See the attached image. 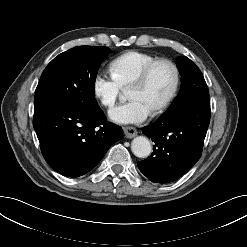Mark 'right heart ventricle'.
Masks as SVG:
<instances>
[{
	"label": "right heart ventricle",
	"instance_id": "obj_1",
	"mask_svg": "<svg viewBox=\"0 0 247 247\" xmlns=\"http://www.w3.org/2000/svg\"><path fill=\"white\" fill-rule=\"evenodd\" d=\"M155 56L136 50L127 51L109 64V72L112 79L121 87L127 88L153 61Z\"/></svg>",
	"mask_w": 247,
	"mask_h": 247
}]
</instances>
